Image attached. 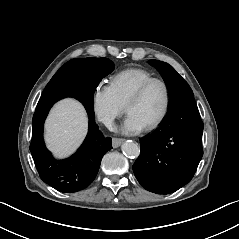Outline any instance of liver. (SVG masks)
I'll use <instances>...</instances> for the list:
<instances>
[{"instance_id":"1","label":"liver","mask_w":239,"mask_h":239,"mask_svg":"<svg viewBox=\"0 0 239 239\" xmlns=\"http://www.w3.org/2000/svg\"><path fill=\"white\" fill-rule=\"evenodd\" d=\"M87 127L88 118L81 103L70 98L59 101L45 121L47 148L56 158L69 156L82 143Z\"/></svg>"}]
</instances>
